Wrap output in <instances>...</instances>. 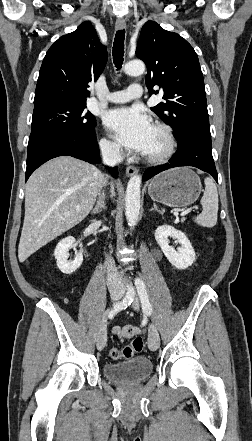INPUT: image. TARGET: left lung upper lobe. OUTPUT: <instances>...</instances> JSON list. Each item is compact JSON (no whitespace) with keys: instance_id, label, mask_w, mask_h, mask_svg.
<instances>
[{"instance_id":"obj_1","label":"left lung upper lobe","mask_w":252,"mask_h":441,"mask_svg":"<svg viewBox=\"0 0 252 441\" xmlns=\"http://www.w3.org/2000/svg\"><path fill=\"white\" fill-rule=\"evenodd\" d=\"M136 55L147 66L150 95L159 93L153 87H160L166 100L151 109L172 127L177 141L191 129L210 130L203 74L192 46L177 33L147 21Z\"/></svg>"}]
</instances>
